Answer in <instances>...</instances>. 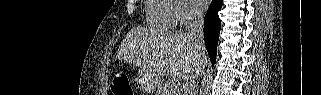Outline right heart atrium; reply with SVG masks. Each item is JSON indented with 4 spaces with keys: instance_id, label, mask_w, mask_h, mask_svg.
I'll list each match as a JSON object with an SVG mask.
<instances>
[{
    "instance_id": "right-heart-atrium-1",
    "label": "right heart atrium",
    "mask_w": 321,
    "mask_h": 95,
    "mask_svg": "<svg viewBox=\"0 0 321 95\" xmlns=\"http://www.w3.org/2000/svg\"><path fill=\"white\" fill-rule=\"evenodd\" d=\"M169 4L170 12L178 24H188L198 18L197 10L185 0H166Z\"/></svg>"
}]
</instances>
